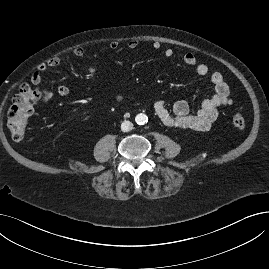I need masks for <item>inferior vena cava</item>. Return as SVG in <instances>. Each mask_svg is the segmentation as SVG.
Masks as SVG:
<instances>
[{
	"label": "inferior vena cava",
	"instance_id": "602c4592",
	"mask_svg": "<svg viewBox=\"0 0 269 269\" xmlns=\"http://www.w3.org/2000/svg\"><path fill=\"white\" fill-rule=\"evenodd\" d=\"M132 129H133V124L130 121H124L121 124V130L123 132H128V131H131Z\"/></svg>",
	"mask_w": 269,
	"mask_h": 269
}]
</instances>
